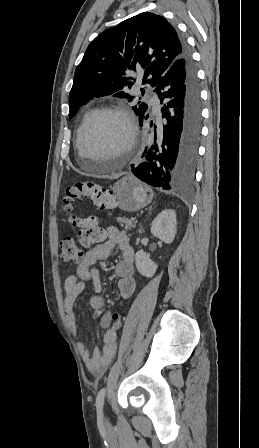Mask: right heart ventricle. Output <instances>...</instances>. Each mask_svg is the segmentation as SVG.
<instances>
[{
	"label": "right heart ventricle",
	"instance_id": "right-heart-ventricle-1",
	"mask_svg": "<svg viewBox=\"0 0 259 448\" xmlns=\"http://www.w3.org/2000/svg\"><path fill=\"white\" fill-rule=\"evenodd\" d=\"M95 111V109L94 108H91V109H89L84 115H83V117H82V120H81V122H80V124H79V126H78V128H77V130H76V133H75V138H74V146H75V148H76V150H77V136H78V132H79V129H80V127H81V125H82V123L93 113Z\"/></svg>",
	"mask_w": 259,
	"mask_h": 448
}]
</instances>
